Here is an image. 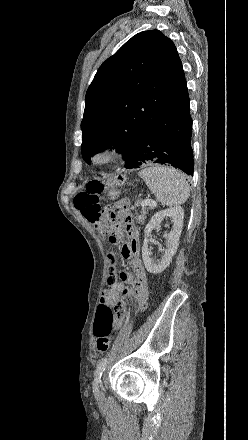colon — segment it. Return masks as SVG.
<instances>
[{
    "instance_id": "5ec220e1",
    "label": "colon",
    "mask_w": 248,
    "mask_h": 440,
    "mask_svg": "<svg viewBox=\"0 0 248 440\" xmlns=\"http://www.w3.org/2000/svg\"><path fill=\"white\" fill-rule=\"evenodd\" d=\"M102 190L103 184L100 181H90L86 185L85 191L75 197L74 204L83 217L94 224L99 233L105 236L112 245L116 246L119 244V237L113 229L110 217L104 215L98 204V195ZM111 257H115V255L110 253L109 259ZM114 319L115 316L111 308L105 303H100L97 308L94 323L96 348L100 355L105 354L109 350Z\"/></svg>"
}]
</instances>
